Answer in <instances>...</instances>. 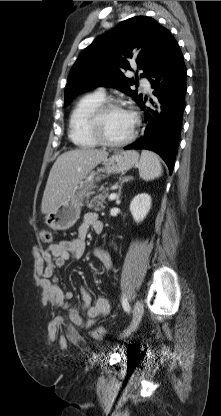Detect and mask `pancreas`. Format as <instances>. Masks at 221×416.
I'll list each match as a JSON object with an SVG mask.
<instances>
[{"instance_id":"pancreas-1","label":"pancreas","mask_w":221,"mask_h":416,"mask_svg":"<svg viewBox=\"0 0 221 416\" xmlns=\"http://www.w3.org/2000/svg\"><path fill=\"white\" fill-rule=\"evenodd\" d=\"M99 191H102V193L94 196L92 200L89 203H87V207L89 209L99 211L100 209L104 208L105 200L109 196V194L106 191H104L103 187H101Z\"/></svg>"}]
</instances>
